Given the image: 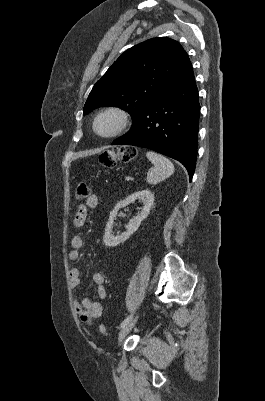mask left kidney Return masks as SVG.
<instances>
[{"instance_id":"obj_1","label":"left kidney","mask_w":265,"mask_h":401,"mask_svg":"<svg viewBox=\"0 0 265 401\" xmlns=\"http://www.w3.org/2000/svg\"><path fill=\"white\" fill-rule=\"evenodd\" d=\"M136 198H139V201H142L143 203L142 211H140L137 217L131 219L130 223H128L126 227L127 231H125V233H121V235H118V237H114V235H112V229L119 209L127 207V205H130V203H134ZM153 203L154 194L151 192V190H149V188H145V190H138V192H133V194H129L127 198H124V201L117 203L116 207H114L113 211H111L108 223L106 225L105 235L103 237L105 247H117L119 243H124V241H127V239H129V237H131V235L137 231L138 227H140L141 221H144V219L148 217Z\"/></svg>"}]
</instances>
